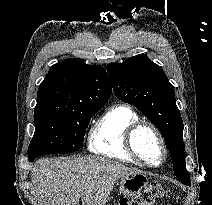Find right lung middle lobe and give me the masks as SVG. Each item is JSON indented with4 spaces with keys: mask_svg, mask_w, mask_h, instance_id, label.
Returning a JSON list of instances; mask_svg holds the SVG:
<instances>
[{
    "mask_svg": "<svg viewBox=\"0 0 212 205\" xmlns=\"http://www.w3.org/2000/svg\"><path fill=\"white\" fill-rule=\"evenodd\" d=\"M103 105H79L60 111H35V133L28 148L29 160L53 153L75 152L83 145L92 116Z\"/></svg>",
    "mask_w": 212,
    "mask_h": 205,
    "instance_id": "obj_1",
    "label": "right lung middle lobe"
}]
</instances>
